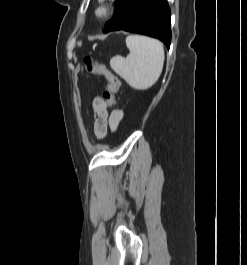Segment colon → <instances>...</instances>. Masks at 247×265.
Wrapping results in <instances>:
<instances>
[{"label": "colon", "instance_id": "5ec220e1", "mask_svg": "<svg viewBox=\"0 0 247 265\" xmlns=\"http://www.w3.org/2000/svg\"><path fill=\"white\" fill-rule=\"evenodd\" d=\"M84 63L90 73L101 76L107 81V89L103 93V99L107 106H113L120 89L119 79L103 64L93 61L90 57H85Z\"/></svg>", "mask_w": 247, "mask_h": 265}]
</instances>
